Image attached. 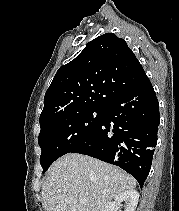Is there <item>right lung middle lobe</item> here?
<instances>
[{
  "mask_svg": "<svg viewBox=\"0 0 179 211\" xmlns=\"http://www.w3.org/2000/svg\"><path fill=\"white\" fill-rule=\"evenodd\" d=\"M105 108H92L57 118L41 128L38 143L42 149L43 173L60 156L87 142L99 128Z\"/></svg>",
  "mask_w": 179,
  "mask_h": 211,
  "instance_id": "obj_1",
  "label": "right lung middle lobe"
}]
</instances>
